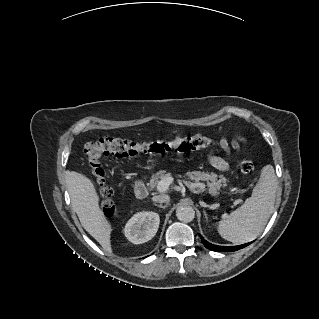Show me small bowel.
<instances>
[{"label":"small bowel","mask_w":319,"mask_h":319,"mask_svg":"<svg viewBox=\"0 0 319 319\" xmlns=\"http://www.w3.org/2000/svg\"><path fill=\"white\" fill-rule=\"evenodd\" d=\"M240 141L241 140L239 138H235L232 140L225 139L222 141V147L226 151H229L230 148L237 149L239 147ZM207 158L209 163L217 170L226 171L229 168V164L225 159L213 153L208 154Z\"/></svg>","instance_id":"obj_1"}]
</instances>
